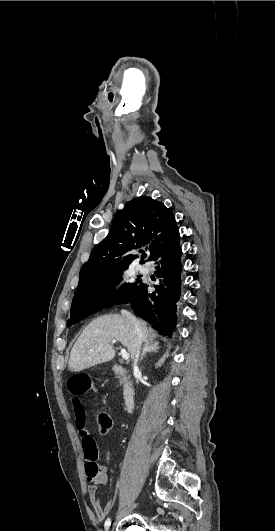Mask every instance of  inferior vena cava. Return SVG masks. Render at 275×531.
I'll use <instances>...</instances> for the list:
<instances>
[{
  "label": "inferior vena cava",
  "instance_id": "602c4592",
  "mask_svg": "<svg viewBox=\"0 0 275 531\" xmlns=\"http://www.w3.org/2000/svg\"><path fill=\"white\" fill-rule=\"evenodd\" d=\"M122 315H125V317L129 319L131 325H133L134 345L136 347L135 355L133 357V367H134V371H136V369H138L137 365H138V359H139L140 349L142 345V339H141L142 331H141L139 321H137V319H135L133 315H130V313H127V311H122Z\"/></svg>",
  "mask_w": 275,
  "mask_h": 531
}]
</instances>
